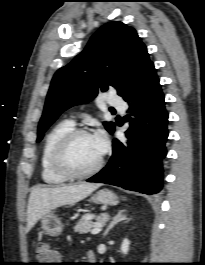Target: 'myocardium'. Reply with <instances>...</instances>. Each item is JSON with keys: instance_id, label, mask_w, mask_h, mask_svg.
Listing matches in <instances>:
<instances>
[{"instance_id": "myocardium-1", "label": "myocardium", "mask_w": 205, "mask_h": 265, "mask_svg": "<svg viewBox=\"0 0 205 265\" xmlns=\"http://www.w3.org/2000/svg\"><path fill=\"white\" fill-rule=\"evenodd\" d=\"M81 136H92V134L81 128H74L67 132L56 144L52 156L51 165L53 169L62 177L71 180H82L87 179L100 171L103 166L104 158L103 155L100 156L98 162L89 170L85 172H75L69 168L66 163V154L72 144V142Z\"/></svg>"}]
</instances>
